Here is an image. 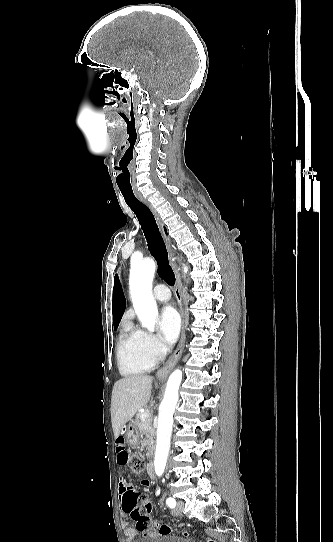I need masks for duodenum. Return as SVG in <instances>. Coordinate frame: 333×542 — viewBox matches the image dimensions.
<instances>
[{
  "mask_svg": "<svg viewBox=\"0 0 333 542\" xmlns=\"http://www.w3.org/2000/svg\"><path fill=\"white\" fill-rule=\"evenodd\" d=\"M147 473L150 477H154L155 475V471H154V463L153 461H150L148 464H147Z\"/></svg>",
  "mask_w": 333,
  "mask_h": 542,
  "instance_id": "obj_1",
  "label": "duodenum"
}]
</instances>
